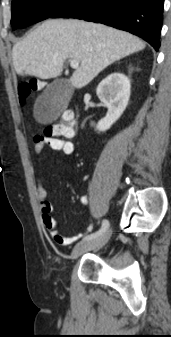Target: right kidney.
<instances>
[{
    "label": "right kidney",
    "instance_id": "obj_1",
    "mask_svg": "<svg viewBox=\"0 0 171 337\" xmlns=\"http://www.w3.org/2000/svg\"><path fill=\"white\" fill-rule=\"evenodd\" d=\"M130 88L129 78L118 72L110 74L100 82L96 93L100 101L107 106L108 112L97 123L98 131L108 130L123 114L130 98Z\"/></svg>",
    "mask_w": 171,
    "mask_h": 337
}]
</instances>
